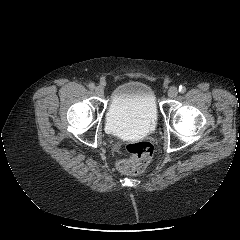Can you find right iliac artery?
<instances>
[{
  "mask_svg": "<svg viewBox=\"0 0 240 240\" xmlns=\"http://www.w3.org/2000/svg\"><path fill=\"white\" fill-rule=\"evenodd\" d=\"M88 87H89L90 90H93V89L95 88V85H94L93 83H90V84L88 85Z\"/></svg>",
  "mask_w": 240,
  "mask_h": 240,
  "instance_id": "1",
  "label": "right iliac artery"
}]
</instances>
